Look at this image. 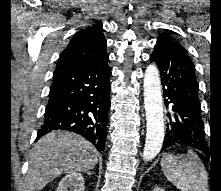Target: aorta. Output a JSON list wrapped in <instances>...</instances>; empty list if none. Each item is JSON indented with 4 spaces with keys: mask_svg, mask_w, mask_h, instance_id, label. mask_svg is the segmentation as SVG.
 <instances>
[{
    "mask_svg": "<svg viewBox=\"0 0 221 191\" xmlns=\"http://www.w3.org/2000/svg\"><path fill=\"white\" fill-rule=\"evenodd\" d=\"M143 87L147 121L143 157L145 160H152L160 152L164 141V114L161 81L158 67L155 64L147 66Z\"/></svg>",
    "mask_w": 221,
    "mask_h": 191,
    "instance_id": "762f6f07",
    "label": "aorta"
}]
</instances>
